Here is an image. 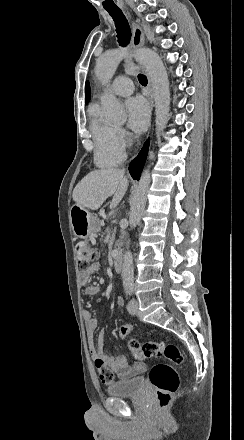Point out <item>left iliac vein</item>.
<instances>
[{
  "label": "left iliac vein",
  "mask_w": 244,
  "mask_h": 440,
  "mask_svg": "<svg viewBox=\"0 0 244 440\" xmlns=\"http://www.w3.org/2000/svg\"><path fill=\"white\" fill-rule=\"evenodd\" d=\"M127 309L130 314L136 315L138 313V303L136 299H130Z\"/></svg>",
  "instance_id": "4c4485c4"
}]
</instances>
